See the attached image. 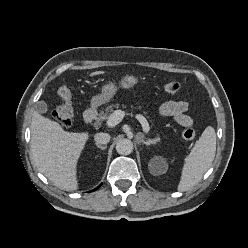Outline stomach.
<instances>
[{
  "mask_svg": "<svg viewBox=\"0 0 248 248\" xmlns=\"http://www.w3.org/2000/svg\"><path fill=\"white\" fill-rule=\"evenodd\" d=\"M139 82L138 78L134 75H127L122 78L120 82V87L129 89L134 87ZM117 85L113 82H109L108 84H105L102 88L101 94L96 95L91 100V106L92 107H98L100 105H103L114 97V95L117 92Z\"/></svg>",
  "mask_w": 248,
  "mask_h": 248,
  "instance_id": "0dacf381",
  "label": "stomach"
}]
</instances>
